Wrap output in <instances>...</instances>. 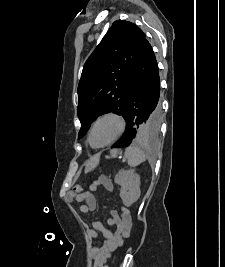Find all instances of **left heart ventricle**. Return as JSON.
<instances>
[{
  "label": "left heart ventricle",
  "mask_w": 225,
  "mask_h": 267,
  "mask_svg": "<svg viewBox=\"0 0 225 267\" xmlns=\"http://www.w3.org/2000/svg\"><path fill=\"white\" fill-rule=\"evenodd\" d=\"M118 131V122L113 118L99 121L92 131L91 142L95 146L102 145L112 139Z\"/></svg>",
  "instance_id": "b2bd125f"
}]
</instances>
